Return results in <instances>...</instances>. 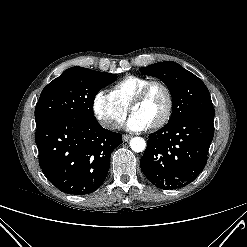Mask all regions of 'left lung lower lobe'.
<instances>
[{
    "instance_id": "left-lung-lower-lobe-1",
    "label": "left lung lower lobe",
    "mask_w": 247,
    "mask_h": 247,
    "mask_svg": "<svg viewBox=\"0 0 247 247\" xmlns=\"http://www.w3.org/2000/svg\"><path fill=\"white\" fill-rule=\"evenodd\" d=\"M213 120L185 116L151 134L140 161L147 179L161 189H177L194 181L207 163Z\"/></svg>"
}]
</instances>
